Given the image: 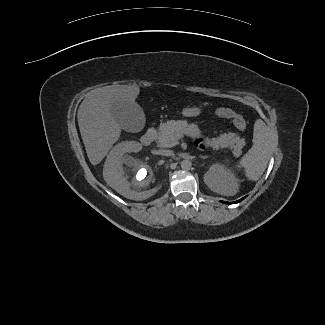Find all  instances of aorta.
<instances>
[{"instance_id": "1", "label": "aorta", "mask_w": 325, "mask_h": 325, "mask_svg": "<svg viewBox=\"0 0 325 325\" xmlns=\"http://www.w3.org/2000/svg\"><path fill=\"white\" fill-rule=\"evenodd\" d=\"M180 166L183 170H190V168L192 167V163L190 160H182L180 162Z\"/></svg>"}]
</instances>
